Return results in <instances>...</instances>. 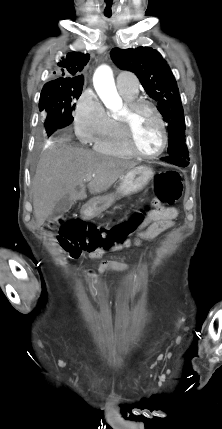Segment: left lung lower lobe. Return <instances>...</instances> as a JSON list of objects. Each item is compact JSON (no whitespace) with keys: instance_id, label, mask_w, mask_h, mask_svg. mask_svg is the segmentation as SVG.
<instances>
[{"instance_id":"0a47b994","label":"left lung lower lobe","mask_w":222,"mask_h":429,"mask_svg":"<svg viewBox=\"0 0 222 429\" xmlns=\"http://www.w3.org/2000/svg\"><path fill=\"white\" fill-rule=\"evenodd\" d=\"M161 160H164L168 163L174 164V165L179 166V167H186V166H188L190 159H185V158L178 157V156H169L168 155L167 157L161 158Z\"/></svg>"}]
</instances>
